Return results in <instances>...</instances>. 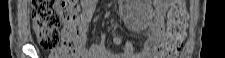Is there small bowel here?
<instances>
[{"label": "small bowel", "instance_id": "obj_1", "mask_svg": "<svg viewBox=\"0 0 225 58\" xmlns=\"http://www.w3.org/2000/svg\"><path fill=\"white\" fill-rule=\"evenodd\" d=\"M97 0H86L81 2V17L79 25V33L75 41L77 51L76 58H139L135 48L131 42H123L119 35L115 34L113 43L120 47L119 53H114L106 45V35L103 33L97 43L86 47L88 36V28L97 7ZM170 5L169 0H158L153 3L156 11L155 17L149 24V38L144 43L141 52L147 57H155L162 33L165 13Z\"/></svg>", "mask_w": 225, "mask_h": 58}]
</instances>
